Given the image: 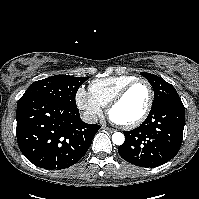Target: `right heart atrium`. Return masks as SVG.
Instances as JSON below:
<instances>
[{
  "mask_svg": "<svg viewBox=\"0 0 199 199\" xmlns=\"http://www.w3.org/2000/svg\"><path fill=\"white\" fill-rule=\"evenodd\" d=\"M76 104L80 110L84 113L86 119L90 122H94L102 113V107L98 103L89 91L80 87L76 93Z\"/></svg>",
  "mask_w": 199,
  "mask_h": 199,
  "instance_id": "obj_1",
  "label": "right heart atrium"
}]
</instances>
